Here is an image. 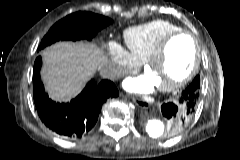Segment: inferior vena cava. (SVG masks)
Returning a JSON list of instances; mask_svg holds the SVG:
<instances>
[{"label": "inferior vena cava", "mask_w": 240, "mask_h": 160, "mask_svg": "<svg viewBox=\"0 0 240 160\" xmlns=\"http://www.w3.org/2000/svg\"><path fill=\"white\" fill-rule=\"evenodd\" d=\"M100 75L103 78L114 79L119 75V70L113 65H104L99 68Z\"/></svg>", "instance_id": "602c4592"}]
</instances>
